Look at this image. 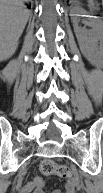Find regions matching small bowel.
<instances>
[{"mask_svg":"<svg viewBox=\"0 0 103 193\" xmlns=\"http://www.w3.org/2000/svg\"><path fill=\"white\" fill-rule=\"evenodd\" d=\"M78 180L68 179L64 184V190L55 189L51 193H77ZM19 193H46L45 182L36 177L32 182L23 185L19 189Z\"/></svg>","mask_w":103,"mask_h":193,"instance_id":"small-bowel-1","label":"small bowel"}]
</instances>
